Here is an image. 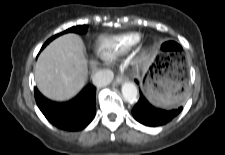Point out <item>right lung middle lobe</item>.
I'll return each mask as SVG.
<instances>
[{
  "instance_id": "obj_1",
  "label": "right lung middle lobe",
  "mask_w": 225,
  "mask_h": 155,
  "mask_svg": "<svg viewBox=\"0 0 225 155\" xmlns=\"http://www.w3.org/2000/svg\"><path fill=\"white\" fill-rule=\"evenodd\" d=\"M87 31V26L86 25H81V26H76V27H72L70 29H67L66 31H64L63 33H67V32H75V33H86ZM62 34V33H61ZM60 34H57L53 37H51L42 47V49L53 39H55L57 36H59Z\"/></svg>"
}]
</instances>
